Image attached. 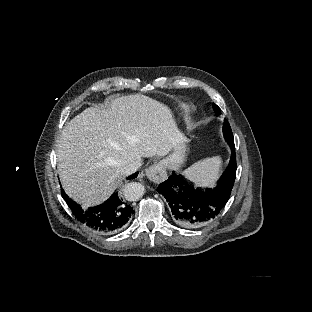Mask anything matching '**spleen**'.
Instances as JSON below:
<instances>
[{
    "instance_id": "3e777b00",
    "label": "spleen",
    "mask_w": 312,
    "mask_h": 312,
    "mask_svg": "<svg viewBox=\"0 0 312 312\" xmlns=\"http://www.w3.org/2000/svg\"><path fill=\"white\" fill-rule=\"evenodd\" d=\"M222 159L220 156L200 160L182 172L186 179L193 182L196 187H216L220 177Z\"/></svg>"
}]
</instances>
